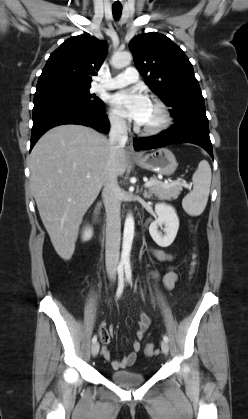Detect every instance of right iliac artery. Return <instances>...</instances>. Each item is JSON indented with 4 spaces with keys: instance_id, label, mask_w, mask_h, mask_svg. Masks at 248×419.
<instances>
[{
    "instance_id": "82829eb1",
    "label": "right iliac artery",
    "mask_w": 248,
    "mask_h": 419,
    "mask_svg": "<svg viewBox=\"0 0 248 419\" xmlns=\"http://www.w3.org/2000/svg\"><path fill=\"white\" fill-rule=\"evenodd\" d=\"M118 271V288L116 292V297L119 298L123 292L124 288V272H123V265H119L117 268ZM97 341V336L94 335L92 338V343Z\"/></svg>"
}]
</instances>
